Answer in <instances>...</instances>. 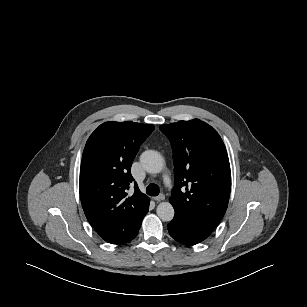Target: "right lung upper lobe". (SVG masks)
Here are the masks:
<instances>
[{"mask_svg":"<svg viewBox=\"0 0 307 307\" xmlns=\"http://www.w3.org/2000/svg\"><path fill=\"white\" fill-rule=\"evenodd\" d=\"M153 125L135 122H106L86 142L80 168V197L89 223L107 242L133 240L149 209V198L135 183L130 170L140 145Z\"/></svg>","mask_w":307,"mask_h":307,"instance_id":"right-lung-upper-lobe-1","label":"right lung upper lobe"}]
</instances>
